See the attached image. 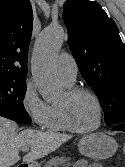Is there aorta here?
Listing matches in <instances>:
<instances>
[{"instance_id": "aorta-1", "label": "aorta", "mask_w": 125, "mask_h": 167, "mask_svg": "<svg viewBox=\"0 0 125 167\" xmlns=\"http://www.w3.org/2000/svg\"><path fill=\"white\" fill-rule=\"evenodd\" d=\"M64 38V29L60 25H51L41 32L34 49L32 76L39 93L46 102L58 99L61 93L55 58Z\"/></svg>"}]
</instances>
